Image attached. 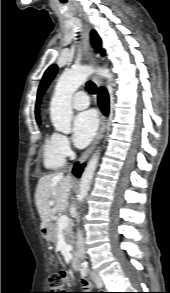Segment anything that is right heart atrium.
Returning <instances> with one entry per match:
<instances>
[{"instance_id": "obj_1", "label": "right heart atrium", "mask_w": 170, "mask_h": 293, "mask_svg": "<svg viewBox=\"0 0 170 293\" xmlns=\"http://www.w3.org/2000/svg\"><path fill=\"white\" fill-rule=\"evenodd\" d=\"M56 146L58 151L64 156L68 157L71 155V144L68 138L60 133H56Z\"/></svg>"}]
</instances>
